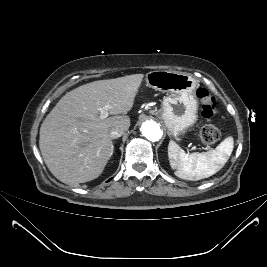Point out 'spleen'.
I'll return each mask as SVG.
<instances>
[{"mask_svg": "<svg viewBox=\"0 0 267 267\" xmlns=\"http://www.w3.org/2000/svg\"><path fill=\"white\" fill-rule=\"evenodd\" d=\"M233 147L234 140L231 136L225 138L215 149L201 153H185L174 141H170L168 158L176 176L196 181L221 170L231 156Z\"/></svg>", "mask_w": 267, "mask_h": 267, "instance_id": "1", "label": "spleen"}]
</instances>
